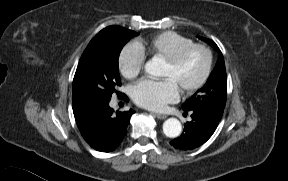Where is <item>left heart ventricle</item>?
<instances>
[{"mask_svg": "<svg viewBox=\"0 0 288 181\" xmlns=\"http://www.w3.org/2000/svg\"><path fill=\"white\" fill-rule=\"evenodd\" d=\"M206 66V55L201 50L190 52L178 65L162 64L159 76L170 79L181 90L197 82Z\"/></svg>", "mask_w": 288, "mask_h": 181, "instance_id": "b2bd125f", "label": "left heart ventricle"}]
</instances>
